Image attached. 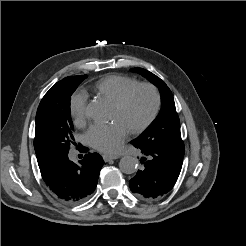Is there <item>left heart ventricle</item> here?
I'll return each mask as SVG.
<instances>
[{"instance_id": "left-heart-ventricle-1", "label": "left heart ventricle", "mask_w": 246, "mask_h": 246, "mask_svg": "<svg viewBox=\"0 0 246 246\" xmlns=\"http://www.w3.org/2000/svg\"><path fill=\"white\" fill-rule=\"evenodd\" d=\"M154 106V97L148 89H140L134 93L129 102L118 108L113 105L111 118L123 122L130 130L140 125L151 114Z\"/></svg>"}]
</instances>
